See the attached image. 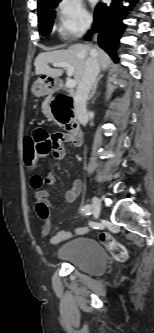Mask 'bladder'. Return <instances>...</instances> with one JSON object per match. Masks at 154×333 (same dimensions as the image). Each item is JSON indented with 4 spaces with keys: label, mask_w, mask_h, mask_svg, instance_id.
<instances>
[{
    "label": "bladder",
    "mask_w": 154,
    "mask_h": 333,
    "mask_svg": "<svg viewBox=\"0 0 154 333\" xmlns=\"http://www.w3.org/2000/svg\"><path fill=\"white\" fill-rule=\"evenodd\" d=\"M58 260L87 274L102 275L107 266V255L99 241L75 238L67 241L57 252Z\"/></svg>",
    "instance_id": "bladder-1"
}]
</instances>
